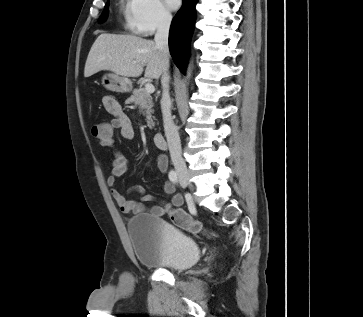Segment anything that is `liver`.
I'll return each mask as SVG.
<instances>
[{"label": "liver", "instance_id": "6515ba94", "mask_svg": "<svg viewBox=\"0 0 363 317\" xmlns=\"http://www.w3.org/2000/svg\"><path fill=\"white\" fill-rule=\"evenodd\" d=\"M145 77L158 80L163 73L164 59L154 41L134 35L103 33L97 37L88 54L84 77L109 70L126 77Z\"/></svg>", "mask_w": 363, "mask_h": 317}]
</instances>
